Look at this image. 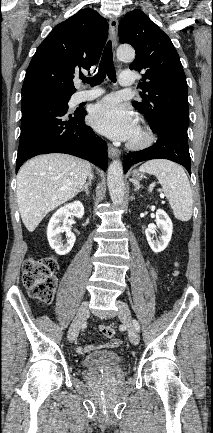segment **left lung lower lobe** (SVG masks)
Wrapping results in <instances>:
<instances>
[{"instance_id": "1", "label": "left lung lower lobe", "mask_w": 213, "mask_h": 433, "mask_svg": "<svg viewBox=\"0 0 213 433\" xmlns=\"http://www.w3.org/2000/svg\"><path fill=\"white\" fill-rule=\"evenodd\" d=\"M158 133L157 142L144 150L129 152L124 158V173L138 162L151 159H168L183 165L191 175V160L187 129L177 121L166 120L151 128Z\"/></svg>"}]
</instances>
